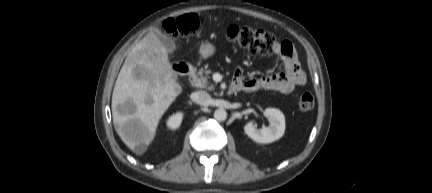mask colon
<instances>
[{
	"label": "colon",
	"mask_w": 432,
	"mask_h": 193,
	"mask_svg": "<svg viewBox=\"0 0 432 193\" xmlns=\"http://www.w3.org/2000/svg\"><path fill=\"white\" fill-rule=\"evenodd\" d=\"M201 26V19L194 14L170 18L163 23L165 31L173 38H187L194 35ZM229 42L253 55L270 56L275 53L277 42L271 33L251 26L231 25L226 30ZM282 52H289L287 45H280ZM315 106V99L309 92L299 98L301 111H310Z\"/></svg>",
	"instance_id": "colon-1"
}]
</instances>
